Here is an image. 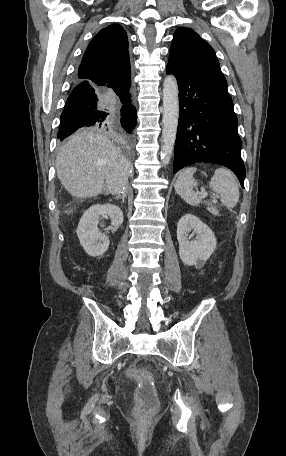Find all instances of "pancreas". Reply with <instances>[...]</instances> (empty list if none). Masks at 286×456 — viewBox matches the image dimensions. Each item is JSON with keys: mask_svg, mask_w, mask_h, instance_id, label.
Listing matches in <instances>:
<instances>
[{"mask_svg": "<svg viewBox=\"0 0 286 456\" xmlns=\"http://www.w3.org/2000/svg\"><path fill=\"white\" fill-rule=\"evenodd\" d=\"M209 212L215 216L219 215V211L215 207L208 208Z\"/></svg>", "mask_w": 286, "mask_h": 456, "instance_id": "pancreas-1", "label": "pancreas"}]
</instances>
